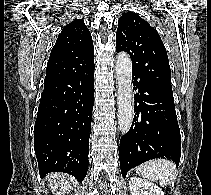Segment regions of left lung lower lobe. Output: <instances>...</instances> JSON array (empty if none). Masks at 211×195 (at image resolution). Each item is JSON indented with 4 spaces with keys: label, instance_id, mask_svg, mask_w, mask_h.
Listing matches in <instances>:
<instances>
[{
    "label": "left lung lower lobe",
    "instance_id": "1",
    "mask_svg": "<svg viewBox=\"0 0 211 195\" xmlns=\"http://www.w3.org/2000/svg\"><path fill=\"white\" fill-rule=\"evenodd\" d=\"M135 116L130 130L120 140V168L127 172L154 158L172 159L178 166L181 136L174 98L165 95L148 81L132 74Z\"/></svg>",
    "mask_w": 211,
    "mask_h": 195
}]
</instances>
